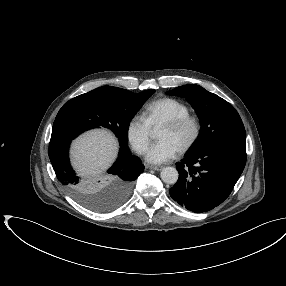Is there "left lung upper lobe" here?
<instances>
[{"mask_svg":"<svg viewBox=\"0 0 286 286\" xmlns=\"http://www.w3.org/2000/svg\"><path fill=\"white\" fill-rule=\"evenodd\" d=\"M167 94L185 97L200 119V136L191 153L217 144L246 146L245 128L238 112L221 97L196 84L177 87Z\"/></svg>","mask_w":286,"mask_h":286,"instance_id":"obj_1","label":"left lung upper lobe"}]
</instances>
